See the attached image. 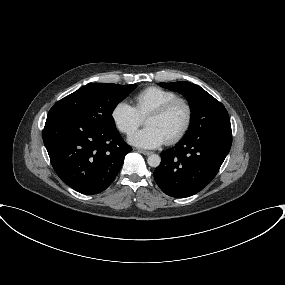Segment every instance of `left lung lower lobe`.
Returning <instances> with one entry per match:
<instances>
[{
  "mask_svg": "<svg viewBox=\"0 0 285 285\" xmlns=\"http://www.w3.org/2000/svg\"><path fill=\"white\" fill-rule=\"evenodd\" d=\"M231 144L232 133L225 131L183 137L175 147L161 153V163L154 171L156 183L175 198L196 194L216 176Z\"/></svg>",
  "mask_w": 285,
  "mask_h": 285,
  "instance_id": "1",
  "label": "left lung lower lobe"
}]
</instances>
